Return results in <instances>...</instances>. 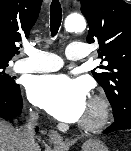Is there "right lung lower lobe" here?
I'll return each mask as SVG.
<instances>
[{
  "mask_svg": "<svg viewBox=\"0 0 131 151\" xmlns=\"http://www.w3.org/2000/svg\"><path fill=\"white\" fill-rule=\"evenodd\" d=\"M22 97L20 86L16 84L11 88H0V117L13 118L22 112ZM38 131V128H36Z\"/></svg>",
  "mask_w": 131,
  "mask_h": 151,
  "instance_id": "98d812e1",
  "label": "right lung lower lobe"
}]
</instances>
